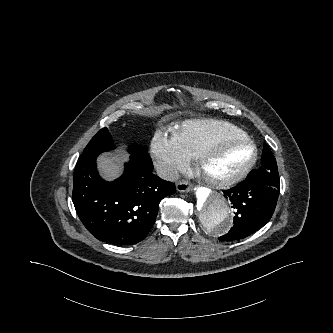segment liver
Segmentation results:
<instances>
[{"instance_id": "1", "label": "liver", "mask_w": 333, "mask_h": 333, "mask_svg": "<svg viewBox=\"0 0 333 333\" xmlns=\"http://www.w3.org/2000/svg\"><path fill=\"white\" fill-rule=\"evenodd\" d=\"M98 169L106 180H114L122 173V164L107 154H102L97 159Z\"/></svg>"}]
</instances>
